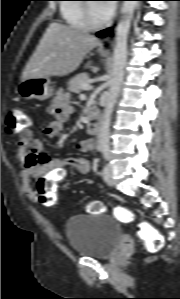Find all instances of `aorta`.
<instances>
[{"label": "aorta", "mask_w": 180, "mask_h": 299, "mask_svg": "<svg viewBox=\"0 0 180 299\" xmlns=\"http://www.w3.org/2000/svg\"><path fill=\"white\" fill-rule=\"evenodd\" d=\"M137 3V1H123L121 9L122 15L116 29L112 78L110 80L109 92L107 94L100 126V145L103 149L109 147L110 121L124 78L127 58V38Z\"/></svg>", "instance_id": "762f6f07"}]
</instances>
